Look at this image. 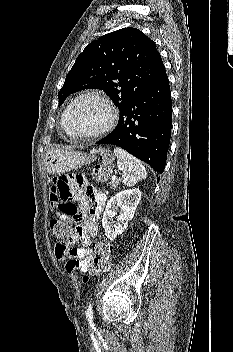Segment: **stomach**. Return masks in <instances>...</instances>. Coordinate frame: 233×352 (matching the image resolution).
<instances>
[{
    "mask_svg": "<svg viewBox=\"0 0 233 352\" xmlns=\"http://www.w3.org/2000/svg\"><path fill=\"white\" fill-rule=\"evenodd\" d=\"M96 160L94 155L79 151L50 149L45 155V168L48 173H65L82 165H87Z\"/></svg>",
    "mask_w": 233,
    "mask_h": 352,
    "instance_id": "stomach-1",
    "label": "stomach"
}]
</instances>
